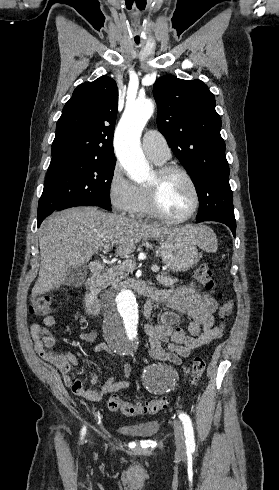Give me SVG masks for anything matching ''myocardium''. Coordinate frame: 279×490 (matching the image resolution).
Instances as JSON below:
<instances>
[{
  "instance_id": "f54148a6",
  "label": "myocardium",
  "mask_w": 279,
  "mask_h": 490,
  "mask_svg": "<svg viewBox=\"0 0 279 490\" xmlns=\"http://www.w3.org/2000/svg\"><path fill=\"white\" fill-rule=\"evenodd\" d=\"M156 173H157V179L153 183L148 184V186H147L149 209H150L151 214L154 215L155 217H157V218H159L165 222H169V223H182V222L189 220L191 217H193L195 215V213L197 212L199 206H200L201 195H200L199 187H198L195 179L193 178V176L189 173V171L180 165L166 164V165L160 166L156 170ZM173 173L182 175L189 182V184L193 190V193H194V202H193L191 209L188 211L187 214H185L184 216H181V217H173V216L168 215L163 210V208L160 204V199H159L160 187H161L162 180L166 176L173 174Z\"/></svg>"
}]
</instances>
